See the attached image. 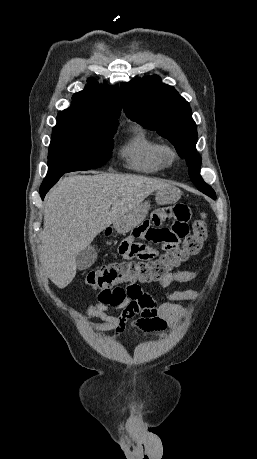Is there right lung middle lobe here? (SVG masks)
I'll return each instance as SVG.
<instances>
[{
	"label": "right lung middle lobe",
	"mask_w": 257,
	"mask_h": 459,
	"mask_svg": "<svg viewBox=\"0 0 257 459\" xmlns=\"http://www.w3.org/2000/svg\"><path fill=\"white\" fill-rule=\"evenodd\" d=\"M116 129L57 119L49 146L47 176L103 166L111 157Z\"/></svg>",
	"instance_id": "right-lung-middle-lobe-1"
}]
</instances>
